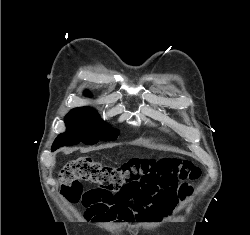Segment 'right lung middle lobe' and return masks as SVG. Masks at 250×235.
<instances>
[{
  "instance_id": "right-lung-middle-lobe-1",
  "label": "right lung middle lobe",
  "mask_w": 250,
  "mask_h": 235,
  "mask_svg": "<svg viewBox=\"0 0 250 235\" xmlns=\"http://www.w3.org/2000/svg\"><path fill=\"white\" fill-rule=\"evenodd\" d=\"M67 131L54 141V147L72 146L80 142L93 145L98 141L116 140L119 131L99 119L94 109L81 107L73 109L65 117Z\"/></svg>"
}]
</instances>
